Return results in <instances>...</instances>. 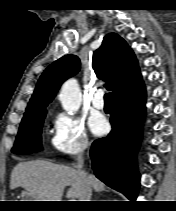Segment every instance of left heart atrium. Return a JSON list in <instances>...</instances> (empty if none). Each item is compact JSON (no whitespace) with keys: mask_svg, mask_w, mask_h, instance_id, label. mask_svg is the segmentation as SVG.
<instances>
[{"mask_svg":"<svg viewBox=\"0 0 176 211\" xmlns=\"http://www.w3.org/2000/svg\"><path fill=\"white\" fill-rule=\"evenodd\" d=\"M89 126H90L91 131L95 135H102L106 133L109 127L106 119L102 115H99V114L93 115L90 118Z\"/></svg>","mask_w":176,"mask_h":211,"instance_id":"1","label":"left heart atrium"}]
</instances>
